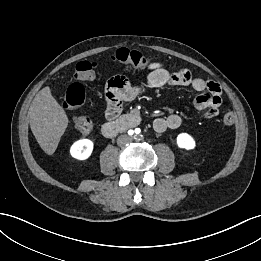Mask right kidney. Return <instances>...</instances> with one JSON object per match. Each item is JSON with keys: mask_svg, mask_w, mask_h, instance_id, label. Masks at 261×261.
Masks as SVG:
<instances>
[{"mask_svg": "<svg viewBox=\"0 0 261 261\" xmlns=\"http://www.w3.org/2000/svg\"><path fill=\"white\" fill-rule=\"evenodd\" d=\"M93 151V142L89 139L76 141L70 148L72 157L78 160L87 159Z\"/></svg>", "mask_w": 261, "mask_h": 261, "instance_id": "right-kidney-1", "label": "right kidney"}]
</instances>
